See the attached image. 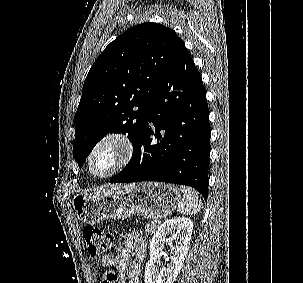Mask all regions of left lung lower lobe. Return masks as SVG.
<instances>
[{"instance_id":"1","label":"left lung lower lobe","mask_w":303,"mask_h":283,"mask_svg":"<svg viewBox=\"0 0 303 283\" xmlns=\"http://www.w3.org/2000/svg\"><path fill=\"white\" fill-rule=\"evenodd\" d=\"M209 148L206 91L184 48L150 101L133 157L110 183L181 184L207 199Z\"/></svg>"}]
</instances>
